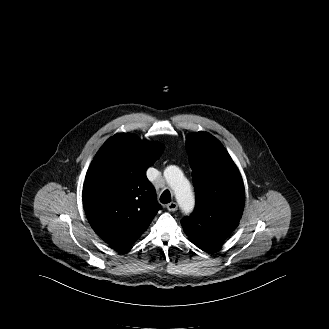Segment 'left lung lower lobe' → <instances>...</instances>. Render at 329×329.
<instances>
[{
  "mask_svg": "<svg viewBox=\"0 0 329 329\" xmlns=\"http://www.w3.org/2000/svg\"><path fill=\"white\" fill-rule=\"evenodd\" d=\"M225 239V238H224ZM224 239H216L212 241H203L195 243L200 249H202L205 252H211L213 249H215Z\"/></svg>",
  "mask_w": 329,
  "mask_h": 329,
  "instance_id": "obj_1",
  "label": "left lung lower lobe"
}]
</instances>
